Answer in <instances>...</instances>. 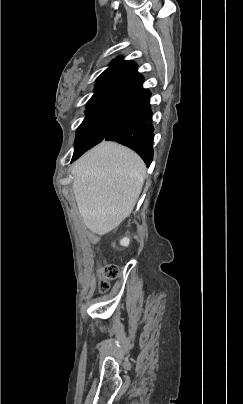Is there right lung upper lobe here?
Wrapping results in <instances>:
<instances>
[{
	"mask_svg": "<svg viewBox=\"0 0 243 404\" xmlns=\"http://www.w3.org/2000/svg\"><path fill=\"white\" fill-rule=\"evenodd\" d=\"M144 78L137 72L132 61L118 58L106 69L96 81L95 93L87 106L103 103L129 104L150 95L149 90L142 88Z\"/></svg>",
	"mask_w": 243,
	"mask_h": 404,
	"instance_id": "obj_1",
	"label": "right lung upper lobe"
}]
</instances>
